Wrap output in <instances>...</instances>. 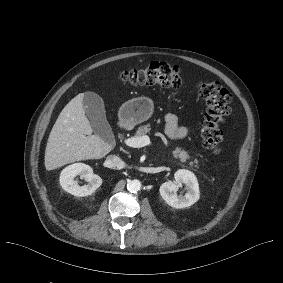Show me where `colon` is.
Instances as JSON below:
<instances>
[{
  "label": "colon",
  "instance_id": "1",
  "mask_svg": "<svg viewBox=\"0 0 283 283\" xmlns=\"http://www.w3.org/2000/svg\"><path fill=\"white\" fill-rule=\"evenodd\" d=\"M120 80L136 86L178 88L182 85L177 66L157 61L151 62L144 68L122 72ZM197 88L206 103V111L200 129L202 143L214 154H219L224 143L221 125L230 113L231 94L218 81L200 82Z\"/></svg>",
  "mask_w": 283,
  "mask_h": 283
}]
</instances>
